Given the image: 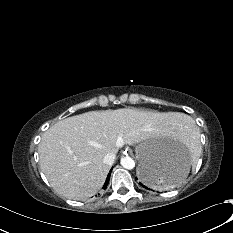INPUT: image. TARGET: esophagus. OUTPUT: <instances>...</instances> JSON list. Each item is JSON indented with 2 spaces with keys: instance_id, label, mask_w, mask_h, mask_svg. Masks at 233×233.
I'll list each match as a JSON object with an SVG mask.
<instances>
[{
  "instance_id": "34e87169",
  "label": "esophagus",
  "mask_w": 233,
  "mask_h": 233,
  "mask_svg": "<svg viewBox=\"0 0 233 233\" xmlns=\"http://www.w3.org/2000/svg\"><path fill=\"white\" fill-rule=\"evenodd\" d=\"M127 152L129 153V152H130V150H129V149H126V153H127Z\"/></svg>"
}]
</instances>
